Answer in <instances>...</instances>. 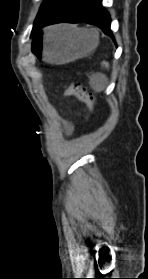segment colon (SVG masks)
<instances>
[{"label":"colon","mask_w":148,"mask_h":279,"mask_svg":"<svg viewBox=\"0 0 148 279\" xmlns=\"http://www.w3.org/2000/svg\"><path fill=\"white\" fill-rule=\"evenodd\" d=\"M64 94L68 96H75L77 99L85 103L92 113L95 112V97L83 85L79 83L69 84L65 87Z\"/></svg>","instance_id":"colon-1"}]
</instances>
